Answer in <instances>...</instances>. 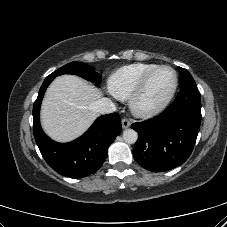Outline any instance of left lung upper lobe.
Returning <instances> with one entry per match:
<instances>
[{"instance_id":"left-lung-upper-lobe-1","label":"left lung upper lobe","mask_w":227,"mask_h":227,"mask_svg":"<svg viewBox=\"0 0 227 227\" xmlns=\"http://www.w3.org/2000/svg\"><path fill=\"white\" fill-rule=\"evenodd\" d=\"M179 72H180V82H181V87L186 86L188 84H193L195 83L193 77L191 74L184 68L178 67Z\"/></svg>"}]
</instances>
